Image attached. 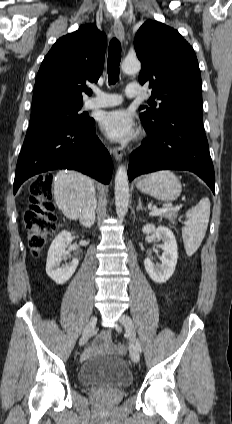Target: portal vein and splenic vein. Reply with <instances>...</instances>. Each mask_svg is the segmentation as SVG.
I'll list each match as a JSON object with an SVG mask.
<instances>
[{"instance_id": "1", "label": "portal vein and splenic vein", "mask_w": 232, "mask_h": 424, "mask_svg": "<svg viewBox=\"0 0 232 424\" xmlns=\"http://www.w3.org/2000/svg\"><path fill=\"white\" fill-rule=\"evenodd\" d=\"M179 210H180V206L168 205V206L163 207V208H160V209H157V208L153 209L149 213V215H151V216H158V215H160L162 213H165V212H178Z\"/></svg>"}]
</instances>
